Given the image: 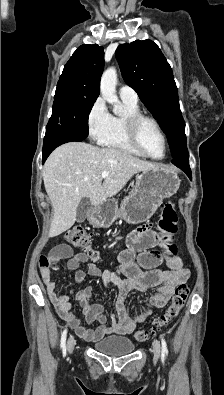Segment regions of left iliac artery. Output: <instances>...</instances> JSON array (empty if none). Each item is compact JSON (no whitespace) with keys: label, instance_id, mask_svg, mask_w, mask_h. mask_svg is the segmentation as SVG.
Listing matches in <instances>:
<instances>
[{"label":"left iliac artery","instance_id":"left-iliac-artery-1","mask_svg":"<svg viewBox=\"0 0 224 395\" xmlns=\"http://www.w3.org/2000/svg\"><path fill=\"white\" fill-rule=\"evenodd\" d=\"M160 337H161V343H162V347H161L162 357L164 358L165 356H167L168 349H167V344H166L165 339L162 336H160Z\"/></svg>","mask_w":224,"mask_h":395}]
</instances>
